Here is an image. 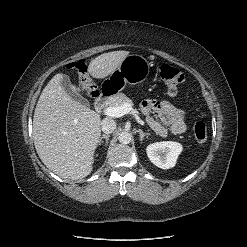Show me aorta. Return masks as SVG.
<instances>
[{
  "instance_id": "762f6f07",
  "label": "aorta",
  "mask_w": 247,
  "mask_h": 247,
  "mask_svg": "<svg viewBox=\"0 0 247 247\" xmlns=\"http://www.w3.org/2000/svg\"><path fill=\"white\" fill-rule=\"evenodd\" d=\"M118 140L121 144H129L132 140V136L128 132H122L119 134Z\"/></svg>"
}]
</instances>
